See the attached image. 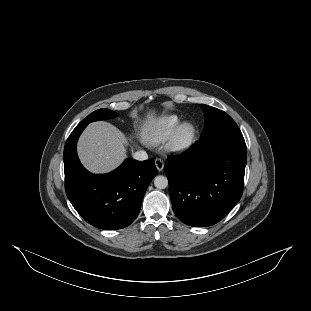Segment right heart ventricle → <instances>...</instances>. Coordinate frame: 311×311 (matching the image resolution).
Listing matches in <instances>:
<instances>
[{
  "instance_id": "obj_1",
  "label": "right heart ventricle",
  "mask_w": 311,
  "mask_h": 311,
  "mask_svg": "<svg viewBox=\"0 0 311 311\" xmlns=\"http://www.w3.org/2000/svg\"><path fill=\"white\" fill-rule=\"evenodd\" d=\"M182 123L176 114H164L150 117L143 129V136L152 143H162L168 140Z\"/></svg>"
}]
</instances>
